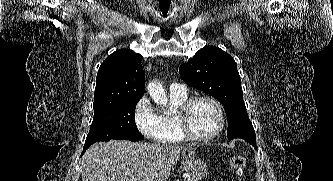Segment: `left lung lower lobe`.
Wrapping results in <instances>:
<instances>
[{"label": "left lung lower lobe", "mask_w": 333, "mask_h": 181, "mask_svg": "<svg viewBox=\"0 0 333 181\" xmlns=\"http://www.w3.org/2000/svg\"><path fill=\"white\" fill-rule=\"evenodd\" d=\"M238 138L244 139L245 141H247L248 143H250L252 146L256 147V140L247 137L246 135H240Z\"/></svg>", "instance_id": "0a47b994"}]
</instances>
